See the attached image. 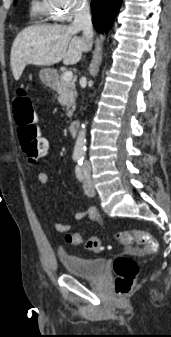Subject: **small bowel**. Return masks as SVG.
<instances>
[{"label":"small bowel","instance_id":"small-bowel-1","mask_svg":"<svg viewBox=\"0 0 171 337\" xmlns=\"http://www.w3.org/2000/svg\"><path fill=\"white\" fill-rule=\"evenodd\" d=\"M48 144H49V142H48ZM37 177H38V181L40 182V184H42L43 186L47 185L48 180H49L47 173H45L43 171L39 172ZM85 218L89 219L91 221L97 222V223L102 222V218L95 208H89L85 211H79V212H76L74 214V220H76V221H80V220L85 219ZM54 228L57 232L65 233V232H69L71 230L72 225L69 224V223L55 222Z\"/></svg>","mask_w":171,"mask_h":337}]
</instances>
